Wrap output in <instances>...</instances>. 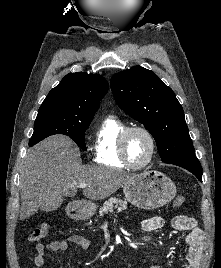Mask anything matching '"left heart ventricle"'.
Wrapping results in <instances>:
<instances>
[{
    "label": "left heart ventricle",
    "instance_id": "obj_1",
    "mask_svg": "<svg viewBox=\"0 0 221 268\" xmlns=\"http://www.w3.org/2000/svg\"><path fill=\"white\" fill-rule=\"evenodd\" d=\"M126 148L130 161L134 164H142L149 157L151 144L144 133L134 131L127 138Z\"/></svg>",
    "mask_w": 221,
    "mask_h": 268
}]
</instances>
